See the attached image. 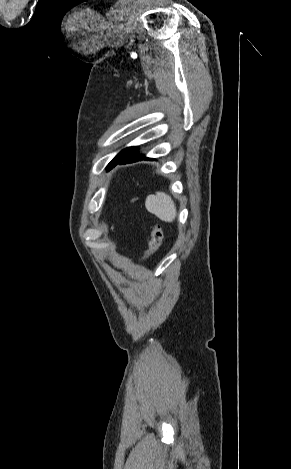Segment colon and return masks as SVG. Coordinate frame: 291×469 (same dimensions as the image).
<instances>
[{
    "label": "colon",
    "mask_w": 291,
    "mask_h": 469,
    "mask_svg": "<svg viewBox=\"0 0 291 469\" xmlns=\"http://www.w3.org/2000/svg\"><path fill=\"white\" fill-rule=\"evenodd\" d=\"M162 240H163L162 228L159 225H155L151 233L149 246L146 252L144 253L143 260L149 259L152 255L156 253V251L159 249V247L162 244Z\"/></svg>",
    "instance_id": "obj_1"
}]
</instances>
